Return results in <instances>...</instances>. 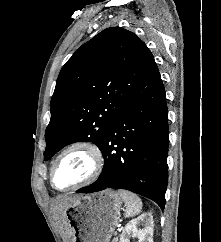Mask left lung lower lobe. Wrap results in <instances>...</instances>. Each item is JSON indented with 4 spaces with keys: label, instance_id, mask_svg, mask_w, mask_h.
<instances>
[{
    "label": "left lung lower lobe",
    "instance_id": "1",
    "mask_svg": "<svg viewBox=\"0 0 221 242\" xmlns=\"http://www.w3.org/2000/svg\"><path fill=\"white\" fill-rule=\"evenodd\" d=\"M168 135L165 90L158 73L115 117L100 149L105 161L101 175L77 192L126 189L155 201L163 209Z\"/></svg>",
    "mask_w": 221,
    "mask_h": 242
}]
</instances>
